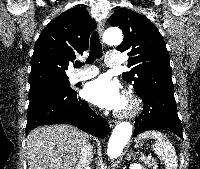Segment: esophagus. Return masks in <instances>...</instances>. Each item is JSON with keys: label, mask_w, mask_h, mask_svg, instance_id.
<instances>
[{"label": "esophagus", "mask_w": 200, "mask_h": 169, "mask_svg": "<svg viewBox=\"0 0 200 169\" xmlns=\"http://www.w3.org/2000/svg\"><path fill=\"white\" fill-rule=\"evenodd\" d=\"M104 29H105V23L103 21L99 22V24H98V32H99L101 37L103 35ZM116 124H117L116 120H110L109 121L110 127H114Z\"/></svg>", "instance_id": "obj_1"}]
</instances>
